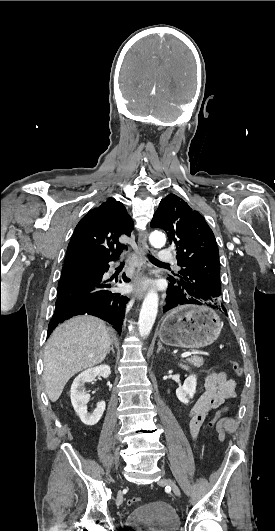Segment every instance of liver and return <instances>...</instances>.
I'll return each mask as SVG.
<instances>
[{
    "label": "liver",
    "mask_w": 275,
    "mask_h": 531,
    "mask_svg": "<svg viewBox=\"0 0 275 531\" xmlns=\"http://www.w3.org/2000/svg\"><path fill=\"white\" fill-rule=\"evenodd\" d=\"M111 341L109 331L97 317L80 315L59 325L44 353L43 379L48 399L56 403L73 375L102 363Z\"/></svg>",
    "instance_id": "liver-1"
}]
</instances>
